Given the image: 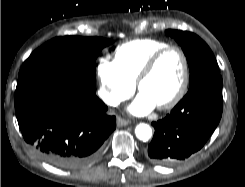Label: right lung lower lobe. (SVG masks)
<instances>
[{"label":"right lung lower lobe","instance_id":"obj_1","mask_svg":"<svg viewBox=\"0 0 245 187\" xmlns=\"http://www.w3.org/2000/svg\"><path fill=\"white\" fill-rule=\"evenodd\" d=\"M80 78L42 71L18 78L15 112L25 141L46 162L68 170L88 166L116 128V118Z\"/></svg>","mask_w":245,"mask_h":187}]
</instances>
